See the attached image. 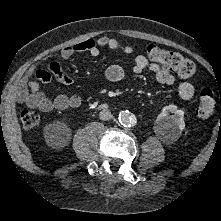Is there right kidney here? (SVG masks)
Wrapping results in <instances>:
<instances>
[{"label": "right kidney", "instance_id": "ca27d5eb", "mask_svg": "<svg viewBox=\"0 0 221 221\" xmlns=\"http://www.w3.org/2000/svg\"><path fill=\"white\" fill-rule=\"evenodd\" d=\"M44 134L54 144L61 145L70 136V129L63 122H54L45 127Z\"/></svg>", "mask_w": 221, "mask_h": 221}]
</instances>
